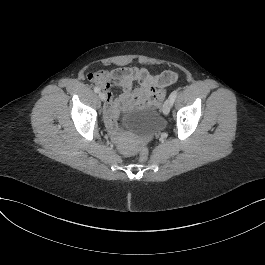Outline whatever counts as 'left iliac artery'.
<instances>
[{"label":"left iliac artery","instance_id":"1","mask_svg":"<svg viewBox=\"0 0 265 265\" xmlns=\"http://www.w3.org/2000/svg\"><path fill=\"white\" fill-rule=\"evenodd\" d=\"M177 91H174V92H172V94L170 95V100H171V102H172V105H173V103H174V101H175V99H176V97H177Z\"/></svg>","mask_w":265,"mask_h":265}]
</instances>
